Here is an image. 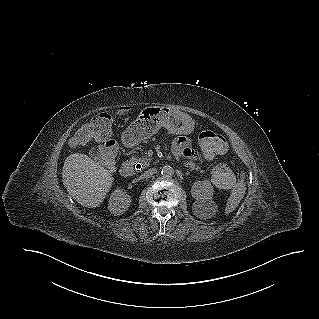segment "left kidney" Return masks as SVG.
<instances>
[{"mask_svg": "<svg viewBox=\"0 0 319 319\" xmlns=\"http://www.w3.org/2000/svg\"><path fill=\"white\" fill-rule=\"evenodd\" d=\"M191 194L196 199L195 206L199 209L197 213L200 217L214 216L217 205L212 201L213 187L208 180L194 182Z\"/></svg>", "mask_w": 319, "mask_h": 319, "instance_id": "1", "label": "left kidney"}]
</instances>
